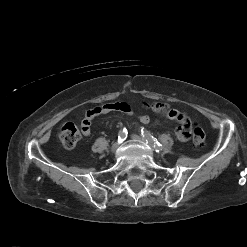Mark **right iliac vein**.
<instances>
[{
    "label": "right iliac vein",
    "mask_w": 247,
    "mask_h": 247,
    "mask_svg": "<svg viewBox=\"0 0 247 247\" xmlns=\"http://www.w3.org/2000/svg\"><path fill=\"white\" fill-rule=\"evenodd\" d=\"M119 145H120L119 142H115L111 147V152L114 153L118 149Z\"/></svg>",
    "instance_id": "right-iliac-vein-1"
}]
</instances>
